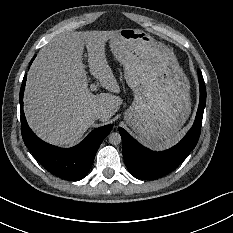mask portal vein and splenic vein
<instances>
[{
    "label": "portal vein and splenic vein",
    "mask_w": 233,
    "mask_h": 233,
    "mask_svg": "<svg viewBox=\"0 0 233 233\" xmlns=\"http://www.w3.org/2000/svg\"><path fill=\"white\" fill-rule=\"evenodd\" d=\"M91 85H93V86L90 88V90H91V91H96V90H97V87L95 86V84H91Z\"/></svg>",
    "instance_id": "portal-vein-and-splenic-vein-1"
}]
</instances>
